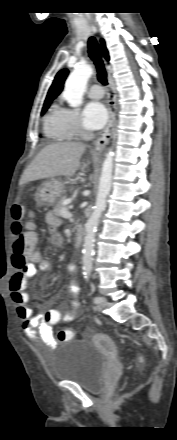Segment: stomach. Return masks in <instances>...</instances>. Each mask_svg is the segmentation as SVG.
<instances>
[{"label":"stomach","mask_w":177,"mask_h":440,"mask_svg":"<svg viewBox=\"0 0 177 440\" xmlns=\"http://www.w3.org/2000/svg\"><path fill=\"white\" fill-rule=\"evenodd\" d=\"M64 183L60 179L52 178L44 182L35 193V201L38 207L54 205L63 192Z\"/></svg>","instance_id":"stomach-1"}]
</instances>
